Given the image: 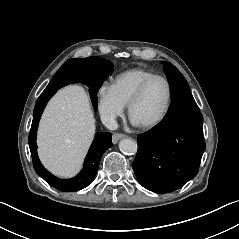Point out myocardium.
Here are the masks:
<instances>
[{
    "instance_id": "1",
    "label": "myocardium",
    "mask_w": 239,
    "mask_h": 239,
    "mask_svg": "<svg viewBox=\"0 0 239 239\" xmlns=\"http://www.w3.org/2000/svg\"><path fill=\"white\" fill-rule=\"evenodd\" d=\"M155 80H163L166 83L167 90H168L167 102H166V105H165V108H164L162 114L156 120L149 122V123L138 124V126L143 130H151V129H154V128L158 127L159 125H161L167 118V116L171 110V106H172L173 88H172L171 82L169 81V79L167 77H165L163 75H154V76H151L148 79H146L132 95V97L127 105V111H128L129 117L131 119H133L132 114H133L134 107L139 102V100L143 96V94L146 91V89L148 88V86Z\"/></svg>"
}]
</instances>
